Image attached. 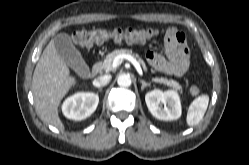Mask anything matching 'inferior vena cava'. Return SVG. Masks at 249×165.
I'll list each match as a JSON object with an SVG mask.
<instances>
[{
  "mask_svg": "<svg viewBox=\"0 0 249 165\" xmlns=\"http://www.w3.org/2000/svg\"><path fill=\"white\" fill-rule=\"evenodd\" d=\"M112 79V76L109 74L99 76L98 78L94 79L93 85L96 87L106 86Z\"/></svg>",
  "mask_w": 249,
  "mask_h": 165,
  "instance_id": "602c4592",
  "label": "inferior vena cava"
}]
</instances>
